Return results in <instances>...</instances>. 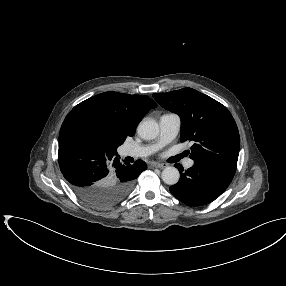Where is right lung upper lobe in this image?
<instances>
[{
  "label": "right lung upper lobe",
  "instance_id": "cb5924a9",
  "mask_svg": "<svg viewBox=\"0 0 286 286\" xmlns=\"http://www.w3.org/2000/svg\"><path fill=\"white\" fill-rule=\"evenodd\" d=\"M156 106L155 101L145 95L105 92L75 106L64 121L74 116H87L98 122L107 132L105 149L114 155L117 147L135 134L143 116Z\"/></svg>",
  "mask_w": 286,
  "mask_h": 286
}]
</instances>
